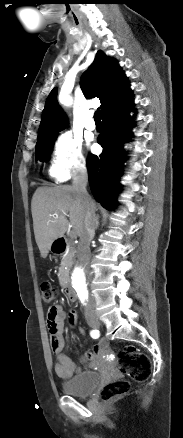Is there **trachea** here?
I'll list each match as a JSON object with an SVG mask.
<instances>
[{"mask_svg": "<svg viewBox=\"0 0 183 438\" xmlns=\"http://www.w3.org/2000/svg\"><path fill=\"white\" fill-rule=\"evenodd\" d=\"M94 120H95V121H101L100 111H99V110H97V111L94 113Z\"/></svg>", "mask_w": 183, "mask_h": 438, "instance_id": "trachea-1", "label": "trachea"}]
</instances>
